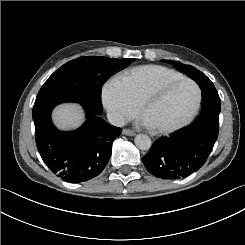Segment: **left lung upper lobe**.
Returning a JSON list of instances; mask_svg holds the SVG:
<instances>
[{
	"label": "left lung upper lobe",
	"mask_w": 245,
	"mask_h": 245,
	"mask_svg": "<svg viewBox=\"0 0 245 245\" xmlns=\"http://www.w3.org/2000/svg\"><path fill=\"white\" fill-rule=\"evenodd\" d=\"M164 62H168L170 64H173L175 68L182 71L186 75H188L190 78L195 80L196 82H199L200 80H203L204 78H207L205 74L197 70L195 67L191 65H184L180 62H176L173 60H163Z\"/></svg>",
	"instance_id": "obj_1"
}]
</instances>
